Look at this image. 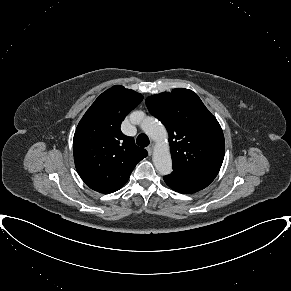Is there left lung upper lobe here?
I'll return each instance as SVG.
<instances>
[{"mask_svg":"<svg viewBox=\"0 0 291 291\" xmlns=\"http://www.w3.org/2000/svg\"><path fill=\"white\" fill-rule=\"evenodd\" d=\"M145 101L168 130L173 171L214 179L224 159L225 141L201 99L189 89L176 88Z\"/></svg>","mask_w":291,"mask_h":291,"instance_id":"obj_1","label":"left lung upper lobe"}]
</instances>
